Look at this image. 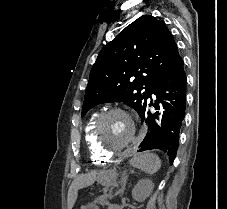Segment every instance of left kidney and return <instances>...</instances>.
I'll return each mask as SVG.
<instances>
[{"mask_svg": "<svg viewBox=\"0 0 227 209\" xmlns=\"http://www.w3.org/2000/svg\"><path fill=\"white\" fill-rule=\"evenodd\" d=\"M154 189V183L150 179H141L134 189H132V197L136 201H144L147 197H150Z\"/></svg>", "mask_w": 227, "mask_h": 209, "instance_id": "1", "label": "left kidney"}]
</instances>
